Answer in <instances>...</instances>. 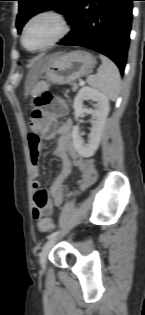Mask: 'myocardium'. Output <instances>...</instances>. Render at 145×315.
<instances>
[{"label": "myocardium", "mask_w": 145, "mask_h": 315, "mask_svg": "<svg viewBox=\"0 0 145 315\" xmlns=\"http://www.w3.org/2000/svg\"><path fill=\"white\" fill-rule=\"evenodd\" d=\"M39 18H50V19L54 20L58 26V32L56 33V35L52 39H50L45 44H43L39 47H36V48H30L26 45V42H25L26 31H27L29 25L33 21H35ZM68 30H69V27H68L67 20L65 19V17L61 13L54 11V10L40 11V12L33 14L25 22V24L22 28V32H21V43H22L23 47L28 51H31V52L42 51V50L48 49L49 47L53 46L54 44H56L60 40H62L67 35Z\"/></svg>", "instance_id": "1"}]
</instances>
